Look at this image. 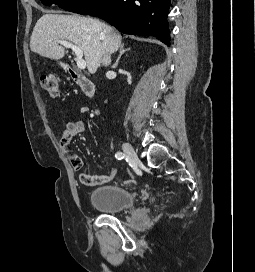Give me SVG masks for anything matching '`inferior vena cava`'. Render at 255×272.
I'll use <instances>...</instances> for the list:
<instances>
[{
  "label": "inferior vena cava",
  "instance_id": "1",
  "mask_svg": "<svg viewBox=\"0 0 255 272\" xmlns=\"http://www.w3.org/2000/svg\"><path fill=\"white\" fill-rule=\"evenodd\" d=\"M102 63L105 66H108L111 63V57L109 54H104L103 59H102Z\"/></svg>",
  "mask_w": 255,
  "mask_h": 272
}]
</instances>
